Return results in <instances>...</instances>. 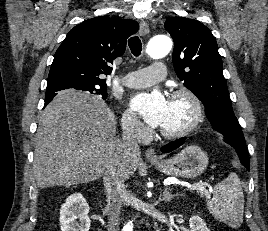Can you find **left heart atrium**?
<instances>
[{
    "label": "left heart atrium",
    "instance_id": "left-heart-atrium-1",
    "mask_svg": "<svg viewBox=\"0 0 268 231\" xmlns=\"http://www.w3.org/2000/svg\"><path fill=\"white\" fill-rule=\"evenodd\" d=\"M131 109L152 127H159L167 107V99L160 91L143 92L130 100Z\"/></svg>",
    "mask_w": 268,
    "mask_h": 231
}]
</instances>
